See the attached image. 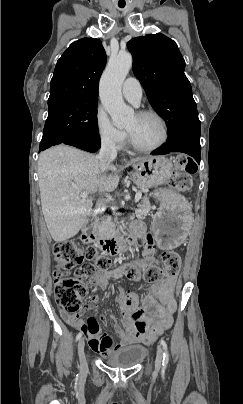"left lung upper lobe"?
Returning a JSON list of instances; mask_svg holds the SVG:
<instances>
[{"label":"left lung upper lobe","instance_id":"5c2ea615","mask_svg":"<svg viewBox=\"0 0 243 404\" xmlns=\"http://www.w3.org/2000/svg\"><path fill=\"white\" fill-rule=\"evenodd\" d=\"M133 72L154 110L166 121L168 134L201 127L192 88L184 74L185 61L176 43L163 34L136 37L127 44Z\"/></svg>","mask_w":243,"mask_h":404}]
</instances>
